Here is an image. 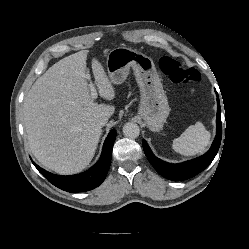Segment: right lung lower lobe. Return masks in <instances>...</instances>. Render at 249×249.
<instances>
[{
  "label": "right lung lower lobe",
  "instance_id": "1",
  "mask_svg": "<svg viewBox=\"0 0 249 249\" xmlns=\"http://www.w3.org/2000/svg\"><path fill=\"white\" fill-rule=\"evenodd\" d=\"M116 131L108 134L98 162L86 172L77 175L60 176L40 168L33 162L38 171L53 185L67 192H84L99 186L105 179L111 163L113 143Z\"/></svg>",
  "mask_w": 249,
  "mask_h": 249
}]
</instances>
